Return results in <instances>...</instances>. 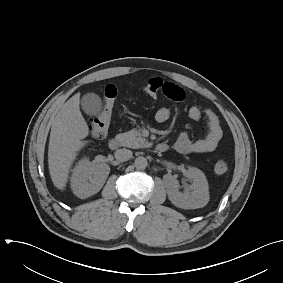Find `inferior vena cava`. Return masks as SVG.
Wrapping results in <instances>:
<instances>
[{"instance_id": "602c4592", "label": "inferior vena cava", "mask_w": 283, "mask_h": 283, "mask_svg": "<svg viewBox=\"0 0 283 283\" xmlns=\"http://www.w3.org/2000/svg\"><path fill=\"white\" fill-rule=\"evenodd\" d=\"M116 160L120 162L128 161L132 157V151L129 149H119L115 152Z\"/></svg>"}]
</instances>
